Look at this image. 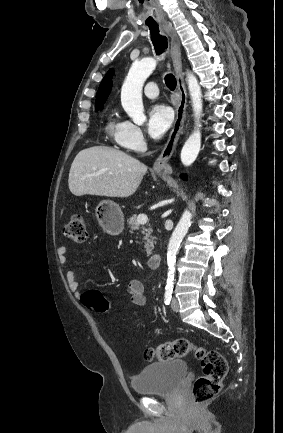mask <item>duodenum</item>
<instances>
[{
	"label": "duodenum",
	"mask_w": 283,
	"mask_h": 433,
	"mask_svg": "<svg viewBox=\"0 0 283 433\" xmlns=\"http://www.w3.org/2000/svg\"><path fill=\"white\" fill-rule=\"evenodd\" d=\"M162 256L159 253L151 255L148 259V267L151 269H157L161 264Z\"/></svg>",
	"instance_id": "410a0bca"
}]
</instances>
